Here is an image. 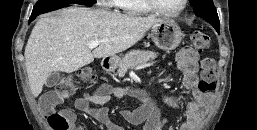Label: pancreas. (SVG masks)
Here are the masks:
<instances>
[{"instance_id":"cf45deb5","label":"pancreas","mask_w":257,"mask_h":130,"mask_svg":"<svg viewBox=\"0 0 257 130\" xmlns=\"http://www.w3.org/2000/svg\"><path fill=\"white\" fill-rule=\"evenodd\" d=\"M156 57L157 53L155 52L140 50L130 51L120 60L117 74L123 77L129 69H135L138 66L145 65Z\"/></svg>"}]
</instances>
